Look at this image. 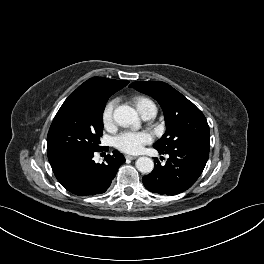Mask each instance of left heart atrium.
<instances>
[{
  "label": "left heart atrium",
  "mask_w": 264,
  "mask_h": 264,
  "mask_svg": "<svg viewBox=\"0 0 264 264\" xmlns=\"http://www.w3.org/2000/svg\"><path fill=\"white\" fill-rule=\"evenodd\" d=\"M151 141V135L146 131H125L115 139L116 147L126 153H137L145 144Z\"/></svg>",
  "instance_id": "1"
}]
</instances>
